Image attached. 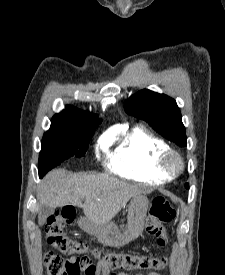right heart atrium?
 <instances>
[{"mask_svg": "<svg viewBox=\"0 0 225 275\" xmlns=\"http://www.w3.org/2000/svg\"><path fill=\"white\" fill-rule=\"evenodd\" d=\"M111 142L112 141L110 139V136L106 135V136L101 137L97 144L98 153L107 152Z\"/></svg>", "mask_w": 225, "mask_h": 275, "instance_id": "1", "label": "right heart atrium"}]
</instances>
